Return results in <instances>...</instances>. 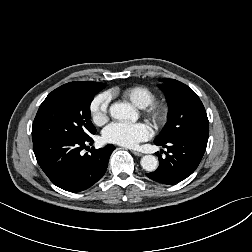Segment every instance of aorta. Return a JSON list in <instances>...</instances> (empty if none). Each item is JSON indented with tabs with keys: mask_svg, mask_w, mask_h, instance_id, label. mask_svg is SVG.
Returning a JSON list of instances; mask_svg holds the SVG:
<instances>
[{
	"mask_svg": "<svg viewBox=\"0 0 252 252\" xmlns=\"http://www.w3.org/2000/svg\"><path fill=\"white\" fill-rule=\"evenodd\" d=\"M112 118L117 120H137L138 116L133 107L127 103H114L109 109ZM142 168L148 172H153L158 167V160L153 155H145L141 158Z\"/></svg>",
	"mask_w": 252,
	"mask_h": 252,
	"instance_id": "aorta-1",
	"label": "aorta"
}]
</instances>
